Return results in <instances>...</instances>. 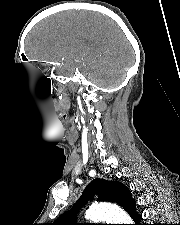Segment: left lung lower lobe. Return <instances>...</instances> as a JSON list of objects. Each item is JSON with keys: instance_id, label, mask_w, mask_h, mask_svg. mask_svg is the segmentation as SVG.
I'll use <instances>...</instances> for the list:
<instances>
[{"instance_id": "0a47b994", "label": "left lung lower lobe", "mask_w": 180, "mask_h": 225, "mask_svg": "<svg viewBox=\"0 0 180 225\" xmlns=\"http://www.w3.org/2000/svg\"><path fill=\"white\" fill-rule=\"evenodd\" d=\"M130 215L132 219L136 222L135 225H142L139 223L141 217L135 212V210Z\"/></svg>"}]
</instances>
